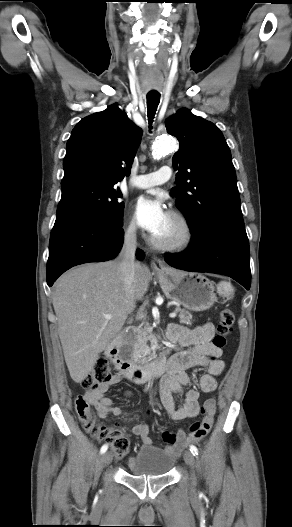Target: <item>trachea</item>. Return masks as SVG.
Listing matches in <instances>:
<instances>
[{
	"mask_svg": "<svg viewBox=\"0 0 292 527\" xmlns=\"http://www.w3.org/2000/svg\"><path fill=\"white\" fill-rule=\"evenodd\" d=\"M160 102V94L159 93H148L147 94V109H148V121L151 125L157 110V107Z\"/></svg>",
	"mask_w": 292,
	"mask_h": 527,
	"instance_id": "3493384b",
	"label": "trachea"
}]
</instances>
